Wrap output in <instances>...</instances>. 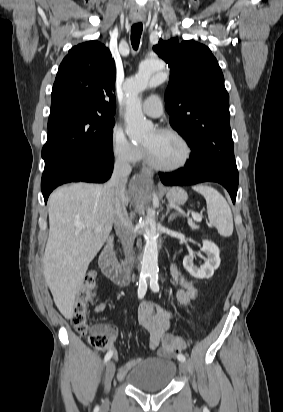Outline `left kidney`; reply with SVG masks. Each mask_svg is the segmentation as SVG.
Returning <instances> with one entry per match:
<instances>
[{
	"label": "left kidney",
	"mask_w": 283,
	"mask_h": 412,
	"mask_svg": "<svg viewBox=\"0 0 283 412\" xmlns=\"http://www.w3.org/2000/svg\"><path fill=\"white\" fill-rule=\"evenodd\" d=\"M201 251L207 255L203 266H195L193 256L191 255L184 257L183 266L195 278H210L213 276L214 270H216L220 265V251L213 242L208 240H203V247L201 248Z\"/></svg>",
	"instance_id": "1"
}]
</instances>
